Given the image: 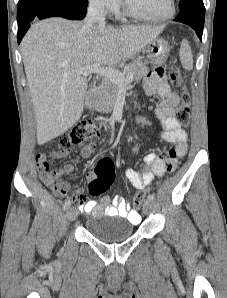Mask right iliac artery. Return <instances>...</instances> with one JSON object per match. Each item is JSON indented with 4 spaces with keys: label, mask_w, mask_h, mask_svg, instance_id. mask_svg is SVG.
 Segmentation results:
<instances>
[{
    "label": "right iliac artery",
    "mask_w": 227,
    "mask_h": 298,
    "mask_svg": "<svg viewBox=\"0 0 227 298\" xmlns=\"http://www.w3.org/2000/svg\"><path fill=\"white\" fill-rule=\"evenodd\" d=\"M71 206V202L69 200L65 201L64 205H63V209L66 210Z\"/></svg>",
    "instance_id": "right-iliac-artery-1"
}]
</instances>
